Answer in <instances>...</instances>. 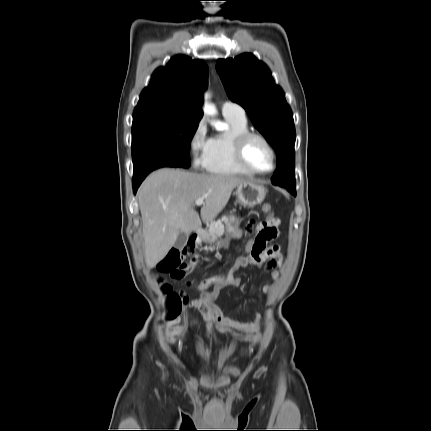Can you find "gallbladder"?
Here are the masks:
<instances>
[{
  "instance_id": "bac80fb5",
  "label": "gallbladder",
  "mask_w": 431,
  "mask_h": 431,
  "mask_svg": "<svg viewBox=\"0 0 431 431\" xmlns=\"http://www.w3.org/2000/svg\"><path fill=\"white\" fill-rule=\"evenodd\" d=\"M188 237H189V235L187 233L180 232L176 241H175L174 247L181 250L186 245V243L188 241Z\"/></svg>"
}]
</instances>
